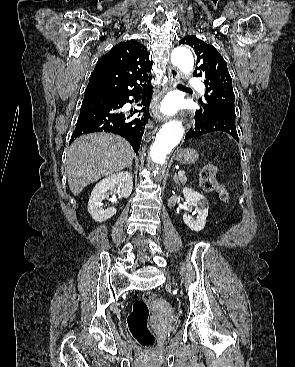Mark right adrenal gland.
Listing matches in <instances>:
<instances>
[{
    "instance_id": "1",
    "label": "right adrenal gland",
    "mask_w": 295,
    "mask_h": 367,
    "mask_svg": "<svg viewBox=\"0 0 295 367\" xmlns=\"http://www.w3.org/2000/svg\"><path fill=\"white\" fill-rule=\"evenodd\" d=\"M127 168H128L129 170H132V166H131V165H129Z\"/></svg>"
}]
</instances>
